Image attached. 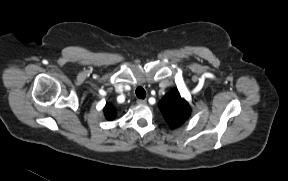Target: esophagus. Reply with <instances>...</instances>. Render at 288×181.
I'll list each match as a JSON object with an SVG mask.
<instances>
[{"instance_id":"1","label":"esophagus","mask_w":288,"mask_h":181,"mask_svg":"<svg viewBox=\"0 0 288 181\" xmlns=\"http://www.w3.org/2000/svg\"><path fill=\"white\" fill-rule=\"evenodd\" d=\"M147 103V100L146 99H137V104L138 105H144Z\"/></svg>"}]
</instances>
